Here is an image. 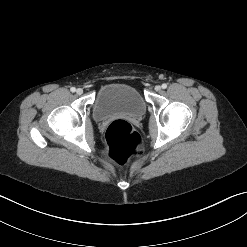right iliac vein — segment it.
Listing matches in <instances>:
<instances>
[{
  "mask_svg": "<svg viewBox=\"0 0 247 247\" xmlns=\"http://www.w3.org/2000/svg\"><path fill=\"white\" fill-rule=\"evenodd\" d=\"M76 93H77L78 95H81V94L83 93V89L78 88V89L76 90Z\"/></svg>",
  "mask_w": 247,
  "mask_h": 247,
  "instance_id": "right-iliac-vein-1",
  "label": "right iliac vein"
}]
</instances>
